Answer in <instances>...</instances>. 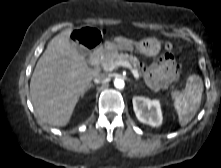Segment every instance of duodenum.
Returning <instances> with one entry per match:
<instances>
[{
    "label": "duodenum",
    "instance_id": "duodenum-1",
    "mask_svg": "<svg viewBox=\"0 0 221 168\" xmlns=\"http://www.w3.org/2000/svg\"><path fill=\"white\" fill-rule=\"evenodd\" d=\"M103 53H104V50L103 48L99 47L97 49H95L91 54H90V57H89V60H90V63L92 65H97L102 56H103Z\"/></svg>",
    "mask_w": 221,
    "mask_h": 168
}]
</instances>
